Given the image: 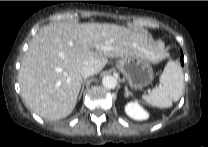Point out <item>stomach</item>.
<instances>
[{
    "instance_id": "0dacf381",
    "label": "stomach",
    "mask_w": 208,
    "mask_h": 147,
    "mask_svg": "<svg viewBox=\"0 0 208 147\" xmlns=\"http://www.w3.org/2000/svg\"><path fill=\"white\" fill-rule=\"evenodd\" d=\"M116 67L126 77L131 88L141 89L149 85L153 79V70L149 62L138 56L121 58Z\"/></svg>"
}]
</instances>
